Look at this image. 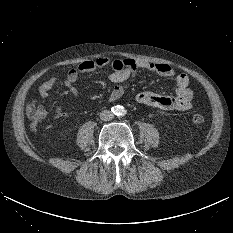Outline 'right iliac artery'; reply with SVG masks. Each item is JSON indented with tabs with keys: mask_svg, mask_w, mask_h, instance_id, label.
<instances>
[{
	"mask_svg": "<svg viewBox=\"0 0 233 233\" xmlns=\"http://www.w3.org/2000/svg\"><path fill=\"white\" fill-rule=\"evenodd\" d=\"M117 110H118L117 107H113V108H112V111H113V112H116Z\"/></svg>",
	"mask_w": 233,
	"mask_h": 233,
	"instance_id": "right-iliac-artery-1",
	"label": "right iliac artery"
}]
</instances>
